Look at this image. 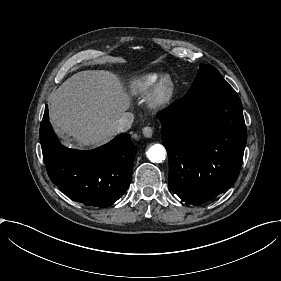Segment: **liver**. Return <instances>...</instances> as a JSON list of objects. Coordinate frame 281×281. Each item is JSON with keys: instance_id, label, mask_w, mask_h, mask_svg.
Returning a JSON list of instances; mask_svg holds the SVG:
<instances>
[{"instance_id": "6515ba94", "label": "liver", "mask_w": 281, "mask_h": 281, "mask_svg": "<svg viewBox=\"0 0 281 281\" xmlns=\"http://www.w3.org/2000/svg\"><path fill=\"white\" fill-rule=\"evenodd\" d=\"M49 99V122L56 136L85 149L103 146L119 134L115 122L130 110L133 96L119 73L99 69L73 74Z\"/></svg>"}]
</instances>
